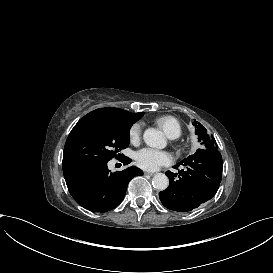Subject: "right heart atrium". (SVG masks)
<instances>
[{
  "instance_id": "right-heart-atrium-1",
  "label": "right heart atrium",
  "mask_w": 273,
  "mask_h": 273,
  "mask_svg": "<svg viewBox=\"0 0 273 273\" xmlns=\"http://www.w3.org/2000/svg\"><path fill=\"white\" fill-rule=\"evenodd\" d=\"M129 138L132 143H139L141 139V126L133 124L129 130Z\"/></svg>"
}]
</instances>
